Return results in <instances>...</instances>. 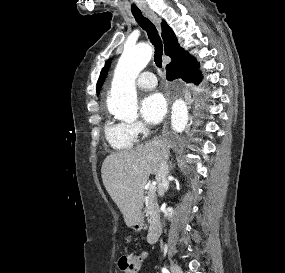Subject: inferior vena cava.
I'll return each instance as SVG.
<instances>
[{
  "label": "inferior vena cava",
  "mask_w": 285,
  "mask_h": 273,
  "mask_svg": "<svg viewBox=\"0 0 285 273\" xmlns=\"http://www.w3.org/2000/svg\"><path fill=\"white\" fill-rule=\"evenodd\" d=\"M169 173V166L167 164V159L163 160L160 164V168L158 174L156 175V179L158 182V195L162 197L168 188L169 182L167 180V176Z\"/></svg>",
  "instance_id": "obj_1"
}]
</instances>
